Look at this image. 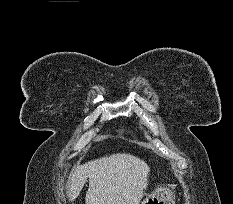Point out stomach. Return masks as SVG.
Here are the masks:
<instances>
[{"label":"stomach","instance_id":"stomach-1","mask_svg":"<svg viewBox=\"0 0 233 204\" xmlns=\"http://www.w3.org/2000/svg\"><path fill=\"white\" fill-rule=\"evenodd\" d=\"M142 204H174V194L167 185H157Z\"/></svg>","mask_w":233,"mask_h":204}]
</instances>
